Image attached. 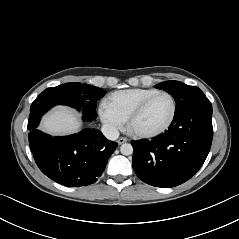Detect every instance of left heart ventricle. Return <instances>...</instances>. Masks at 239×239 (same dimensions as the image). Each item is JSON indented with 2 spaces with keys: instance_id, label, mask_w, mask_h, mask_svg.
<instances>
[{
  "instance_id": "obj_1",
  "label": "left heart ventricle",
  "mask_w": 239,
  "mask_h": 239,
  "mask_svg": "<svg viewBox=\"0 0 239 239\" xmlns=\"http://www.w3.org/2000/svg\"><path fill=\"white\" fill-rule=\"evenodd\" d=\"M172 113V102L166 95L155 97L134 120L133 130L151 132L164 126Z\"/></svg>"
}]
</instances>
